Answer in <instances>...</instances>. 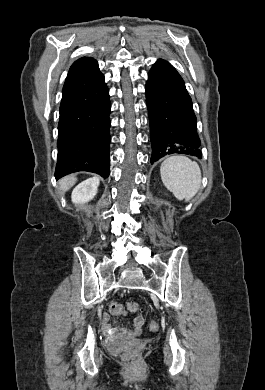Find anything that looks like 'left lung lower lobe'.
Segmentation results:
<instances>
[{
    "instance_id": "obj_1",
    "label": "left lung lower lobe",
    "mask_w": 265,
    "mask_h": 390,
    "mask_svg": "<svg viewBox=\"0 0 265 390\" xmlns=\"http://www.w3.org/2000/svg\"><path fill=\"white\" fill-rule=\"evenodd\" d=\"M145 88L152 145L150 162L170 154L201 159L192 101L176 69L159 59L148 73Z\"/></svg>"
}]
</instances>
